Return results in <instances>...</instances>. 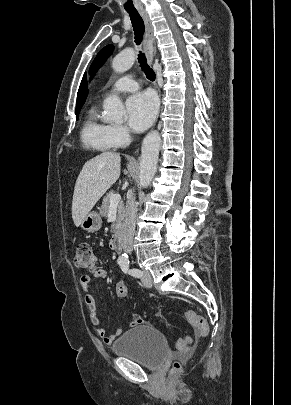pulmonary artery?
<instances>
[{
	"label": "pulmonary artery",
	"mask_w": 291,
	"mask_h": 405,
	"mask_svg": "<svg viewBox=\"0 0 291 405\" xmlns=\"http://www.w3.org/2000/svg\"><path fill=\"white\" fill-rule=\"evenodd\" d=\"M139 88L137 81L131 75H125L118 78L105 94L111 92L136 91Z\"/></svg>",
	"instance_id": "1"
}]
</instances>
